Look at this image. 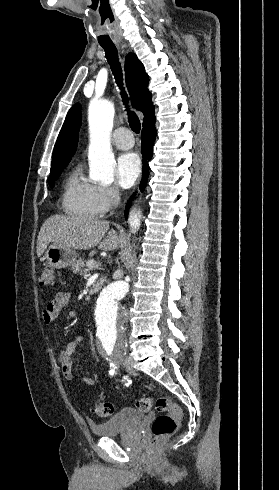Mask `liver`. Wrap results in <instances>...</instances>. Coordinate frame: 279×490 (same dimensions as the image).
<instances>
[{
    "mask_svg": "<svg viewBox=\"0 0 279 490\" xmlns=\"http://www.w3.org/2000/svg\"><path fill=\"white\" fill-rule=\"evenodd\" d=\"M109 230V222L95 218H78V216H50L44 222L37 240V256L41 258L50 242L67 250H98L111 252L118 250L123 238L116 230ZM108 232V236H105ZM104 238V240H102Z\"/></svg>",
    "mask_w": 279,
    "mask_h": 490,
    "instance_id": "6515ba94",
    "label": "liver"
}]
</instances>
